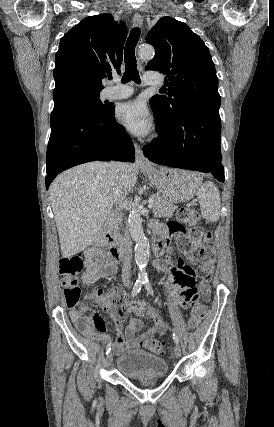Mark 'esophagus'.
<instances>
[{
    "mask_svg": "<svg viewBox=\"0 0 274 427\" xmlns=\"http://www.w3.org/2000/svg\"><path fill=\"white\" fill-rule=\"evenodd\" d=\"M133 25L135 27L141 28L143 26V17L140 14L133 15L132 18ZM135 163L138 167H149L150 162L146 159V157L143 154L142 148L140 145L135 142Z\"/></svg>",
    "mask_w": 274,
    "mask_h": 427,
    "instance_id": "34e87169",
    "label": "esophagus"
}]
</instances>
